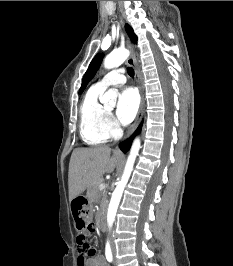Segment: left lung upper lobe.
<instances>
[{
  "label": "left lung upper lobe",
  "mask_w": 233,
  "mask_h": 266,
  "mask_svg": "<svg viewBox=\"0 0 233 266\" xmlns=\"http://www.w3.org/2000/svg\"><path fill=\"white\" fill-rule=\"evenodd\" d=\"M126 31L131 39L132 42L136 43L137 42V37L136 35L134 34L133 32V29L129 26V25H126ZM102 57H103V54H97L93 60L91 61L84 77H83V80H82V85H81V88L79 90V94H81L85 87L87 86V84L89 83V81L94 77V75L96 74L97 70L99 69L100 67V64L102 62Z\"/></svg>",
  "instance_id": "left-lung-upper-lobe-1"
}]
</instances>
